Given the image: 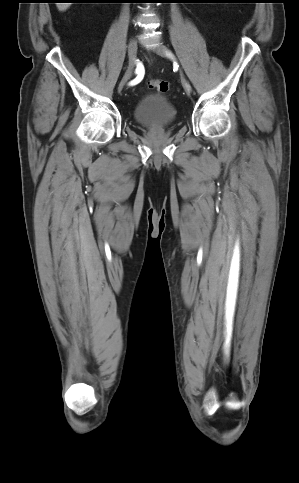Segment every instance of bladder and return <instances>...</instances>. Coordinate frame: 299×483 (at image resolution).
Segmentation results:
<instances>
[{"label": "bladder", "mask_w": 299, "mask_h": 483, "mask_svg": "<svg viewBox=\"0 0 299 483\" xmlns=\"http://www.w3.org/2000/svg\"><path fill=\"white\" fill-rule=\"evenodd\" d=\"M135 120L144 126L163 128L170 125L176 117L171 102L161 94H152L142 98L133 112Z\"/></svg>", "instance_id": "bladder-1"}]
</instances>
